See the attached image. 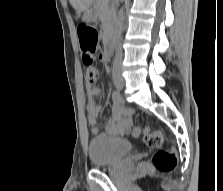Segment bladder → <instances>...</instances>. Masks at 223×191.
<instances>
[{
    "mask_svg": "<svg viewBox=\"0 0 223 191\" xmlns=\"http://www.w3.org/2000/svg\"><path fill=\"white\" fill-rule=\"evenodd\" d=\"M131 143L125 138L99 136L90 140L88 155L94 166H111L128 156Z\"/></svg>",
    "mask_w": 223,
    "mask_h": 191,
    "instance_id": "1",
    "label": "bladder"
}]
</instances>
